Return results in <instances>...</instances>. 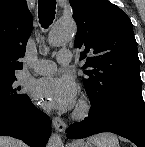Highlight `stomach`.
I'll return each mask as SVG.
<instances>
[{
	"label": "stomach",
	"instance_id": "stomach-1",
	"mask_svg": "<svg viewBox=\"0 0 145 147\" xmlns=\"http://www.w3.org/2000/svg\"><path fill=\"white\" fill-rule=\"evenodd\" d=\"M83 145H84L83 147H92L90 143H85Z\"/></svg>",
	"mask_w": 145,
	"mask_h": 147
}]
</instances>
